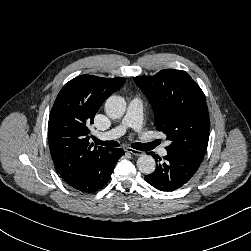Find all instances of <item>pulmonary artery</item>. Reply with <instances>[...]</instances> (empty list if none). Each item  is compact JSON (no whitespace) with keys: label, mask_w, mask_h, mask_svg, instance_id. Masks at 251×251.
I'll return each instance as SVG.
<instances>
[{"label":"pulmonary artery","mask_w":251,"mask_h":251,"mask_svg":"<svg viewBox=\"0 0 251 251\" xmlns=\"http://www.w3.org/2000/svg\"><path fill=\"white\" fill-rule=\"evenodd\" d=\"M142 109L143 104L141 99L137 97L132 99L128 105L126 114L122 118L119 125L107 132L105 137L110 139L121 137L129 128L139 131L142 125ZM159 154L161 156H165L167 154L165 146L159 148Z\"/></svg>","instance_id":"1"}]
</instances>
